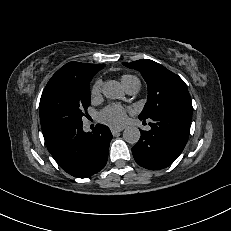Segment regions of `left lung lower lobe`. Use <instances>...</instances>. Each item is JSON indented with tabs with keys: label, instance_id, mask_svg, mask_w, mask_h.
<instances>
[{
	"label": "left lung lower lobe",
	"instance_id": "0a47b994",
	"mask_svg": "<svg viewBox=\"0 0 231 231\" xmlns=\"http://www.w3.org/2000/svg\"><path fill=\"white\" fill-rule=\"evenodd\" d=\"M150 119L151 130H141V138L132 147V153L138 165L159 170L171 165L181 154L188 140L192 115L165 111Z\"/></svg>",
	"mask_w": 231,
	"mask_h": 231
}]
</instances>
